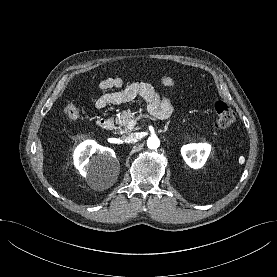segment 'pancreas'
<instances>
[{"mask_svg":"<svg viewBox=\"0 0 277 277\" xmlns=\"http://www.w3.org/2000/svg\"><path fill=\"white\" fill-rule=\"evenodd\" d=\"M134 119V114L128 110H124L119 117L115 119L117 126L115 130L120 133H128L135 130L134 126L130 125V121Z\"/></svg>","mask_w":277,"mask_h":277,"instance_id":"cf45deb5","label":"pancreas"}]
</instances>
